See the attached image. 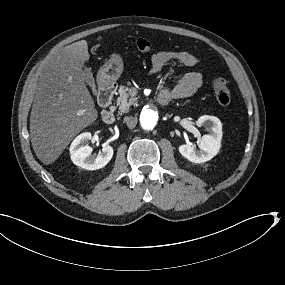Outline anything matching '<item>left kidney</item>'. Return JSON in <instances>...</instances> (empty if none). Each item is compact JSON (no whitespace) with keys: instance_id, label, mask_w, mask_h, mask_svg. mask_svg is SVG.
<instances>
[{"instance_id":"1","label":"left kidney","mask_w":285,"mask_h":285,"mask_svg":"<svg viewBox=\"0 0 285 285\" xmlns=\"http://www.w3.org/2000/svg\"><path fill=\"white\" fill-rule=\"evenodd\" d=\"M208 124L210 133L203 135L200 140V151H196L194 147L189 144H181L178 146V151L188 161L196 164H201L210 161L218 155L221 140H222V125L218 118L213 116H201L197 119L196 125L204 127Z\"/></svg>"}]
</instances>
